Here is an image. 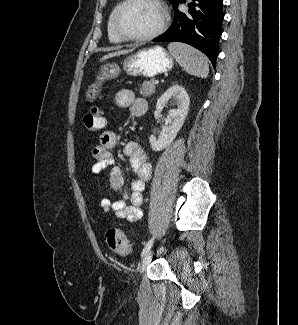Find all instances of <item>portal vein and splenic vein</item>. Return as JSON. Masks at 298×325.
<instances>
[{
	"mask_svg": "<svg viewBox=\"0 0 298 325\" xmlns=\"http://www.w3.org/2000/svg\"><path fill=\"white\" fill-rule=\"evenodd\" d=\"M155 84H158L159 80H154Z\"/></svg>",
	"mask_w": 298,
	"mask_h": 325,
	"instance_id": "portal-vein-and-splenic-vein-1",
	"label": "portal vein and splenic vein"
}]
</instances>
